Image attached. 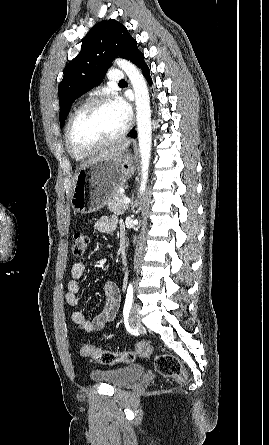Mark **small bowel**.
<instances>
[{
    "label": "small bowel",
    "instance_id": "c3829d8e",
    "mask_svg": "<svg viewBox=\"0 0 269 445\" xmlns=\"http://www.w3.org/2000/svg\"><path fill=\"white\" fill-rule=\"evenodd\" d=\"M95 226L99 232L113 235L117 231L118 222L114 217L104 216L97 220ZM84 273L85 265L82 262L73 264L71 268V279L67 284V291L65 293V301L71 307H78L80 305V280L84 276ZM104 289L106 293L104 308L92 319H88L80 310H75L71 315L73 323L84 331L92 332L100 330L116 317L120 303V291L118 286L116 283L109 281L106 282Z\"/></svg>",
    "mask_w": 269,
    "mask_h": 445
}]
</instances>
